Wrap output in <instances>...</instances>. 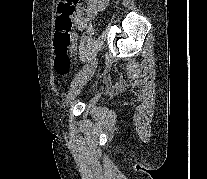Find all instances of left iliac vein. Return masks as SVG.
Here are the masks:
<instances>
[{"label":"left iliac vein","instance_id":"obj_1","mask_svg":"<svg viewBox=\"0 0 207 179\" xmlns=\"http://www.w3.org/2000/svg\"><path fill=\"white\" fill-rule=\"evenodd\" d=\"M97 67V60L95 59L91 65L85 70L84 74L72 85L69 93L66 96L65 107L68 106L80 93L81 89L91 79Z\"/></svg>","mask_w":207,"mask_h":179}]
</instances>
